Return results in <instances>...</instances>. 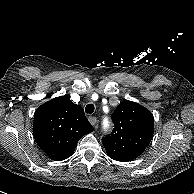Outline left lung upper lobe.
I'll list each match as a JSON object with an SVG mask.
<instances>
[{"label": "left lung upper lobe", "instance_id": "1", "mask_svg": "<svg viewBox=\"0 0 194 194\" xmlns=\"http://www.w3.org/2000/svg\"><path fill=\"white\" fill-rule=\"evenodd\" d=\"M112 120V133L102 139L108 156L120 162L136 159L152 139L153 115L138 103L125 100L112 113Z\"/></svg>", "mask_w": 194, "mask_h": 194}]
</instances>
